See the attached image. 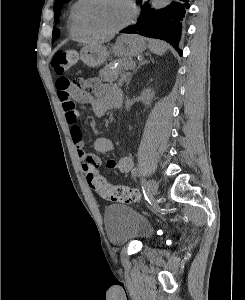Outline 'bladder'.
Segmentation results:
<instances>
[{
    "mask_svg": "<svg viewBox=\"0 0 245 300\" xmlns=\"http://www.w3.org/2000/svg\"><path fill=\"white\" fill-rule=\"evenodd\" d=\"M104 226L109 242L114 245H122L133 240L145 241L153 233L151 224L145 217L122 204L106 208Z\"/></svg>",
    "mask_w": 245,
    "mask_h": 300,
    "instance_id": "bladder-1",
    "label": "bladder"
}]
</instances>
